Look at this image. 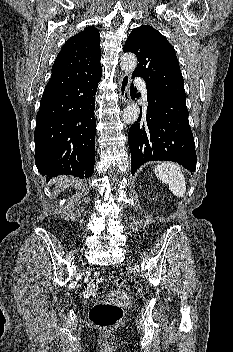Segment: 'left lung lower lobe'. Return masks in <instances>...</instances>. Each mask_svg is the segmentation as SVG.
I'll return each mask as SVG.
<instances>
[{"instance_id": "1", "label": "left lung lower lobe", "mask_w": 233, "mask_h": 352, "mask_svg": "<svg viewBox=\"0 0 233 352\" xmlns=\"http://www.w3.org/2000/svg\"><path fill=\"white\" fill-rule=\"evenodd\" d=\"M146 87V115H139L128 133L132 174L147 161L161 160L177 162L194 172L197 158L186 104ZM136 91L131 85L132 98H138Z\"/></svg>"}]
</instances>
